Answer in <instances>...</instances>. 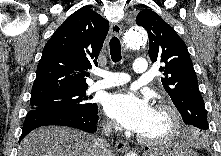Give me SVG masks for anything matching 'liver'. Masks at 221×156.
Returning a JSON list of instances; mask_svg holds the SVG:
<instances>
[{"label":"liver","mask_w":221,"mask_h":156,"mask_svg":"<svg viewBox=\"0 0 221 156\" xmlns=\"http://www.w3.org/2000/svg\"><path fill=\"white\" fill-rule=\"evenodd\" d=\"M19 156H103L95 136L65 127H41L20 143ZM106 156H110L107 151Z\"/></svg>","instance_id":"obj_1"}]
</instances>
